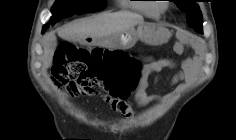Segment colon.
I'll list each match as a JSON object with an SVG mask.
<instances>
[{"label": "colon", "instance_id": "1", "mask_svg": "<svg viewBox=\"0 0 236 140\" xmlns=\"http://www.w3.org/2000/svg\"><path fill=\"white\" fill-rule=\"evenodd\" d=\"M142 65L129 54L103 48L86 50L63 42L56 51L52 77L71 94H102L114 104L127 98L142 76Z\"/></svg>", "mask_w": 236, "mask_h": 140}]
</instances>
